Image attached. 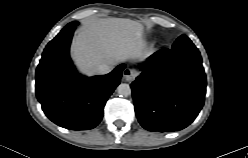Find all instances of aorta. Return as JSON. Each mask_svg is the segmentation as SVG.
I'll return each instance as SVG.
<instances>
[{"instance_id":"obj_1","label":"aorta","mask_w":248,"mask_h":158,"mask_svg":"<svg viewBox=\"0 0 248 158\" xmlns=\"http://www.w3.org/2000/svg\"><path fill=\"white\" fill-rule=\"evenodd\" d=\"M117 93L121 97H127L131 95V88L129 84H125V83L119 84V86L117 87Z\"/></svg>"}]
</instances>
